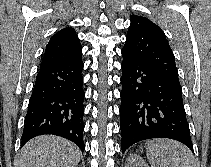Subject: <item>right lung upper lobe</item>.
I'll use <instances>...</instances> for the list:
<instances>
[{"instance_id":"cb5924a9","label":"right lung upper lobe","mask_w":211,"mask_h":167,"mask_svg":"<svg viewBox=\"0 0 211 167\" xmlns=\"http://www.w3.org/2000/svg\"><path fill=\"white\" fill-rule=\"evenodd\" d=\"M81 55L82 46L75 30L72 27L63 28L46 45L40 68L61 64Z\"/></svg>"}]
</instances>
